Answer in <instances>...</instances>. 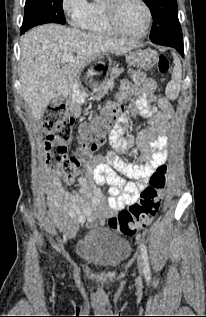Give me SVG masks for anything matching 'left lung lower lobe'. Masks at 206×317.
<instances>
[{"mask_svg": "<svg viewBox=\"0 0 206 317\" xmlns=\"http://www.w3.org/2000/svg\"><path fill=\"white\" fill-rule=\"evenodd\" d=\"M156 44L173 47V48L176 49L182 56H184V54H183V51H184V49H183V42H162V43H156Z\"/></svg>", "mask_w": 206, "mask_h": 317, "instance_id": "obj_1", "label": "left lung lower lobe"}]
</instances>
